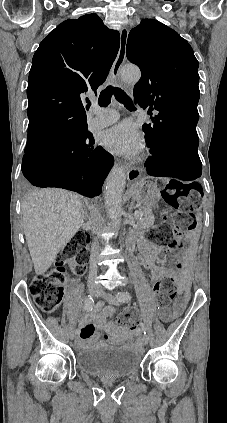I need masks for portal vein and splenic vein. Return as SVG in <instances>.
<instances>
[{
	"label": "portal vein and splenic vein",
	"mask_w": 227,
	"mask_h": 423,
	"mask_svg": "<svg viewBox=\"0 0 227 423\" xmlns=\"http://www.w3.org/2000/svg\"><path fill=\"white\" fill-rule=\"evenodd\" d=\"M140 213H141V210L140 209H137V210L134 211V217H135V219H138Z\"/></svg>",
	"instance_id": "1"
}]
</instances>
